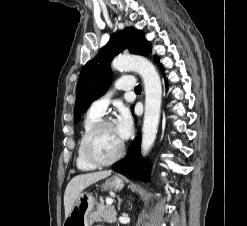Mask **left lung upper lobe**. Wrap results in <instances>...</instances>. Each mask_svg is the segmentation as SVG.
<instances>
[{
	"label": "left lung upper lobe",
	"mask_w": 247,
	"mask_h": 226,
	"mask_svg": "<svg viewBox=\"0 0 247 226\" xmlns=\"http://www.w3.org/2000/svg\"><path fill=\"white\" fill-rule=\"evenodd\" d=\"M125 48L133 54L147 55L152 52L150 42L145 39L142 31L128 27L114 34L100 52L81 70L74 108V121L77 123L80 115L98 97L104 94L111 84L110 63L114 56Z\"/></svg>",
	"instance_id": "left-lung-upper-lobe-1"
}]
</instances>
